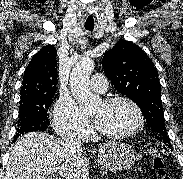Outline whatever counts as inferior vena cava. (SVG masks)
Masks as SVG:
<instances>
[{
	"label": "inferior vena cava",
	"mask_w": 183,
	"mask_h": 179,
	"mask_svg": "<svg viewBox=\"0 0 183 179\" xmlns=\"http://www.w3.org/2000/svg\"><path fill=\"white\" fill-rule=\"evenodd\" d=\"M63 143L70 151H79L81 148V139L77 134H68L63 136Z\"/></svg>",
	"instance_id": "1"
}]
</instances>
